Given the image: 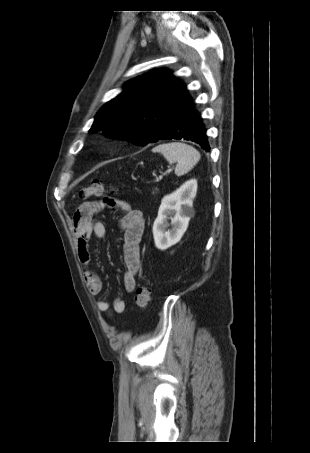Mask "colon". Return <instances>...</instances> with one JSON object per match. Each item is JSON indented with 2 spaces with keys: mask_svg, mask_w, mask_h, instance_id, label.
<instances>
[{
  "mask_svg": "<svg viewBox=\"0 0 310 453\" xmlns=\"http://www.w3.org/2000/svg\"><path fill=\"white\" fill-rule=\"evenodd\" d=\"M106 192V186L103 182L95 180L91 183L82 187L78 193V197L82 200L89 199L91 197L101 196ZM151 296L150 287L147 284H140L135 293V305L138 309L144 310Z\"/></svg>",
  "mask_w": 310,
  "mask_h": 453,
  "instance_id": "5ec220e1",
  "label": "colon"
}]
</instances>
